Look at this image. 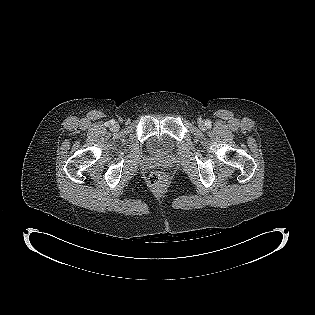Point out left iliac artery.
Returning <instances> with one entry per match:
<instances>
[{
	"label": "left iliac artery",
	"mask_w": 315,
	"mask_h": 315,
	"mask_svg": "<svg viewBox=\"0 0 315 315\" xmlns=\"http://www.w3.org/2000/svg\"><path fill=\"white\" fill-rule=\"evenodd\" d=\"M205 125H206L207 127H210V126H211V121H210V120H206V121H205Z\"/></svg>",
	"instance_id": "1"
}]
</instances>
